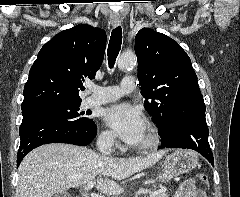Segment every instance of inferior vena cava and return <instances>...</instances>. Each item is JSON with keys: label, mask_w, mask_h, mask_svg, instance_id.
I'll list each match as a JSON object with an SVG mask.
<instances>
[{"label": "inferior vena cava", "mask_w": 240, "mask_h": 197, "mask_svg": "<svg viewBox=\"0 0 240 197\" xmlns=\"http://www.w3.org/2000/svg\"><path fill=\"white\" fill-rule=\"evenodd\" d=\"M115 136L113 134H108L100 136L97 140L98 150L105 155H109L112 151V146L114 143Z\"/></svg>", "instance_id": "inferior-vena-cava-1"}]
</instances>
